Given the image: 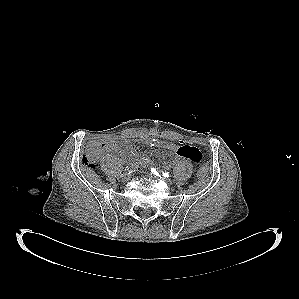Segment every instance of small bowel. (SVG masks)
<instances>
[{
    "mask_svg": "<svg viewBox=\"0 0 299 299\" xmlns=\"http://www.w3.org/2000/svg\"><path fill=\"white\" fill-rule=\"evenodd\" d=\"M143 142L150 146L171 151L177 157L191 160L194 163H200L202 161V153L198 148L192 145H188V144L176 145L168 141L149 138V137L143 138ZM104 150L106 152H119L123 157H130L132 159H135L141 165H146L148 163V158L146 156L137 154L134 150H132L128 146L118 145V143L115 140H107L106 142H104Z\"/></svg>",
    "mask_w": 299,
    "mask_h": 299,
    "instance_id": "c3829d8e",
    "label": "small bowel"
}]
</instances>
